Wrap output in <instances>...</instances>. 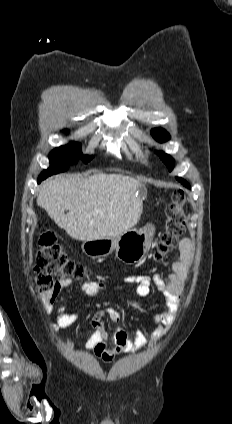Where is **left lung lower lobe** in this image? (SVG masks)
Returning <instances> with one entry per match:
<instances>
[{
	"label": "left lung lower lobe",
	"mask_w": 232,
	"mask_h": 424,
	"mask_svg": "<svg viewBox=\"0 0 232 424\" xmlns=\"http://www.w3.org/2000/svg\"><path fill=\"white\" fill-rule=\"evenodd\" d=\"M177 180L180 181L184 186L190 188V185L185 180H183L181 178H178Z\"/></svg>",
	"instance_id": "left-lung-lower-lobe-1"
}]
</instances>
